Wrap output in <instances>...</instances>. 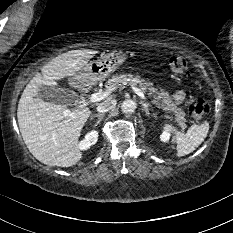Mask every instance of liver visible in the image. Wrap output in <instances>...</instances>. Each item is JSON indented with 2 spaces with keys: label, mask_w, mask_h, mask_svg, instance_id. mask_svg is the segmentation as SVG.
<instances>
[{
  "label": "liver",
  "mask_w": 233,
  "mask_h": 233,
  "mask_svg": "<svg viewBox=\"0 0 233 233\" xmlns=\"http://www.w3.org/2000/svg\"><path fill=\"white\" fill-rule=\"evenodd\" d=\"M97 51L78 49L63 53L43 66L24 89L18 104L17 119L23 140L31 154L48 166L70 167L81 158L78 141L91 111L87 107L68 110L66 105L47 102L38 97L40 86H58L56 80L73 77ZM64 91L62 87L57 88ZM69 115H65L66 111Z\"/></svg>",
  "instance_id": "obj_1"
}]
</instances>
